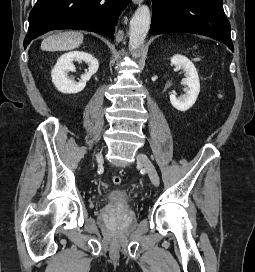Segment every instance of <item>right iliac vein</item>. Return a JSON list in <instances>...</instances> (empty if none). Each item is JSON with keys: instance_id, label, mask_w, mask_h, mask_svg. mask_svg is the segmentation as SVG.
<instances>
[{"instance_id": "63e3f726", "label": "right iliac vein", "mask_w": 255, "mask_h": 272, "mask_svg": "<svg viewBox=\"0 0 255 272\" xmlns=\"http://www.w3.org/2000/svg\"><path fill=\"white\" fill-rule=\"evenodd\" d=\"M95 158H96V160L101 161L102 160V154L101 153L96 154Z\"/></svg>"}]
</instances>
